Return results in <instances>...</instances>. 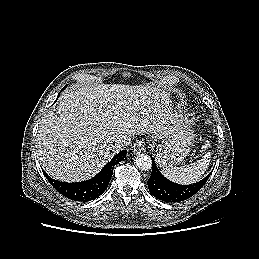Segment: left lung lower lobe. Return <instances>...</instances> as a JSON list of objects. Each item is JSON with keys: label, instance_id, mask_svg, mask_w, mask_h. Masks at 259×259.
Returning a JSON list of instances; mask_svg holds the SVG:
<instances>
[{"label": "left lung lower lobe", "instance_id": "obj_1", "mask_svg": "<svg viewBox=\"0 0 259 259\" xmlns=\"http://www.w3.org/2000/svg\"><path fill=\"white\" fill-rule=\"evenodd\" d=\"M210 175L211 173L197 183H193L191 185H180L165 178L160 173L154 159L152 158V173L148 180V188L150 193L159 200L166 202H180L196 194L206 183Z\"/></svg>", "mask_w": 259, "mask_h": 259}]
</instances>
